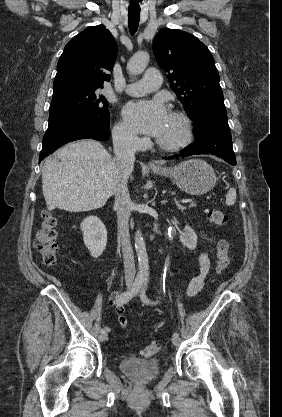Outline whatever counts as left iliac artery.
Returning <instances> with one entry per match:
<instances>
[{"label": "left iliac artery", "instance_id": "obj_1", "mask_svg": "<svg viewBox=\"0 0 282 417\" xmlns=\"http://www.w3.org/2000/svg\"><path fill=\"white\" fill-rule=\"evenodd\" d=\"M147 283H148V279H145L144 280V288L141 290V292H140V298H141V300L144 302V303H146V304H154L153 302H151L148 298H147V296H146V294H145V290H146V285H147ZM173 336H179V334L177 333V332H175L174 334H173Z\"/></svg>", "mask_w": 282, "mask_h": 417}]
</instances>
